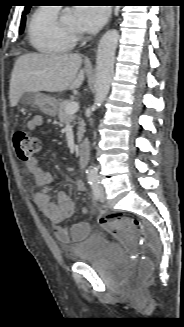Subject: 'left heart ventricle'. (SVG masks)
I'll use <instances>...</instances> for the list:
<instances>
[{
  "label": "left heart ventricle",
  "mask_w": 184,
  "mask_h": 327,
  "mask_svg": "<svg viewBox=\"0 0 184 327\" xmlns=\"http://www.w3.org/2000/svg\"><path fill=\"white\" fill-rule=\"evenodd\" d=\"M61 21L66 28L77 29V23L73 13L63 15Z\"/></svg>",
  "instance_id": "left-heart-ventricle-1"
}]
</instances>
